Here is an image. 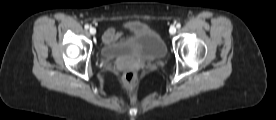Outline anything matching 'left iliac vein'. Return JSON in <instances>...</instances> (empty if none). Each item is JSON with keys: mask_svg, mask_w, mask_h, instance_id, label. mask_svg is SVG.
<instances>
[{"mask_svg": "<svg viewBox=\"0 0 276 120\" xmlns=\"http://www.w3.org/2000/svg\"><path fill=\"white\" fill-rule=\"evenodd\" d=\"M170 34H175L176 32V27L175 26H171L169 29Z\"/></svg>", "mask_w": 276, "mask_h": 120, "instance_id": "4c4485c4", "label": "left iliac vein"}]
</instances>
